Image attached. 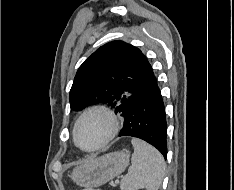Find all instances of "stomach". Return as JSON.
I'll use <instances>...</instances> for the list:
<instances>
[{"instance_id": "0dacf381", "label": "stomach", "mask_w": 234, "mask_h": 190, "mask_svg": "<svg viewBox=\"0 0 234 190\" xmlns=\"http://www.w3.org/2000/svg\"><path fill=\"white\" fill-rule=\"evenodd\" d=\"M128 164L129 153L116 151L77 166L70 177L80 187H99L120 175Z\"/></svg>"}]
</instances>
